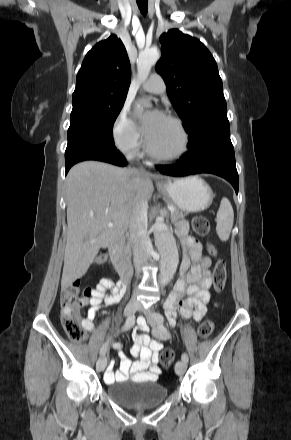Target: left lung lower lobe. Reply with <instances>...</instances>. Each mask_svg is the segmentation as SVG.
Returning a JSON list of instances; mask_svg holds the SVG:
<instances>
[{
	"instance_id": "obj_1",
	"label": "left lung lower lobe",
	"mask_w": 291,
	"mask_h": 440,
	"mask_svg": "<svg viewBox=\"0 0 291 440\" xmlns=\"http://www.w3.org/2000/svg\"><path fill=\"white\" fill-rule=\"evenodd\" d=\"M173 165H157L160 173L182 177L198 173H211L228 180L238 193V173L234 148L230 140V128L222 127L208 132Z\"/></svg>"
}]
</instances>
